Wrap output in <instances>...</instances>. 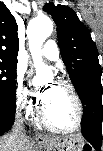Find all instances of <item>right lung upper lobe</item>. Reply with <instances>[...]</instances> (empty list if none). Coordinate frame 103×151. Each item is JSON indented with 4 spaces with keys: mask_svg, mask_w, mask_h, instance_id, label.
I'll return each instance as SVG.
<instances>
[{
    "mask_svg": "<svg viewBox=\"0 0 103 151\" xmlns=\"http://www.w3.org/2000/svg\"><path fill=\"white\" fill-rule=\"evenodd\" d=\"M19 27L15 18L5 6L0 2V62L17 64L19 49V39L17 31Z\"/></svg>",
    "mask_w": 103,
    "mask_h": 151,
    "instance_id": "cb5924a9",
    "label": "right lung upper lobe"
}]
</instances>
